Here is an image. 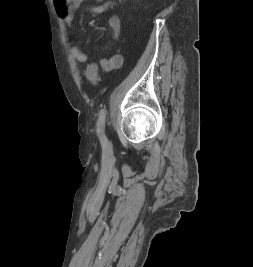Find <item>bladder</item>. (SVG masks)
<instances>
[{"mask_svg": "<svg viewBox=\"0 0 253 267\" xmlns=\"http://www.w3.org/2000/svg\"><path fill=\"white\" fill-rule=\"evenodd\" d=\"M87 76L90 80H95L97 76V67L95 65H91L87 69Z\"/></svg>", "mask_w": 253, "mask_h": 267, "instance_id": "31cf9c89", "label": "bladder"}]
</instances>
